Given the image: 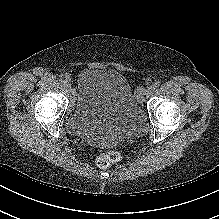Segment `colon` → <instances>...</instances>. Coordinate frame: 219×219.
Wrapping results in <instances>:
<instances>
[{
  "label": "colon",
  "instance_id": "1",
  "mask_svg": "<svg viewBox=\"0 0 219 219\" xmlns=\"http://www.w3.org/2000/svg\"><path fill=\"white\" fill-rule=\"evenodd\" d=\"M122 160V155L117 151H110L97 158L96 164L99 168H109Z\"/></svg>",
  "mask_w": 219,
  "mask_h": 219
}]
</instances>
